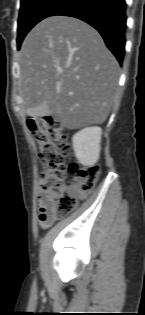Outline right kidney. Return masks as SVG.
Returning a JSON list of instances; mask_svg holds the SVG:
<instances>
[{
	"label": "right kidney",
	"instance_id": "obj_1",
	"mask_svg": "<svg viewBox=\"0 0 145 315\" xmlns=\"http://www.w3.org/2000/svg\"><path fill=\"white\" fill-rule=\"evenodd\" d=\"M101 135L102 129L100 127H87L73 136L75 156L82 165L91 166L98 161Z\"/></svg>",
	"mask_w": 145,
	"mask_h": 315
}]
</instances>
